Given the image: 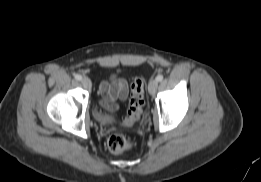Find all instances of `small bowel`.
Wrapping results in <instances>:
<instances>
[{"instance_id": "1", "label": "small bowel", "mask_w": 261, "mask_h": 182, "mask_svg": "<svg viewBox=\"0 0 261 182\" xmlns=\"http://www.w3.org/2000/svg\"><path fill=\"white\" fill-rule=\"evenodd\" d=\"M101 105L108 110H116L117 100L125 101L128 98V84L125 79L113 75L110 80L103 81L99 86Z\"/></svg>"}]
</instances>
